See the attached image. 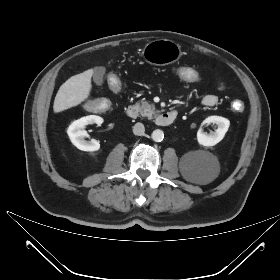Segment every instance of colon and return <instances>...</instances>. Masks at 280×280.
Returning <instances> with one entry per match:
<instances>
[{"label":"colon","mask_w":280,"mask_h":280,"mask_svg":"<svg viewBox=\"0 0 280 280\" xmlns=\"http://www.w3.org/2000/svg\"><path fill=\"white\" fill-rule=\"evenodd\" d=\"M173 74L176 78L190 85H200L204 82L205 77L201 70L187 67L184 64H178L173 69ZM105 82L110 86L113 92H118L120 89V81L116 74L109 73L105 77ZM109 103L106 100L99 99L87 103V107L95 112H103L107 109ZM232 109L235 112H243L244 104L241 101H234Z\"/></svg>","instance_id":"obj_1"}]
</instances>
